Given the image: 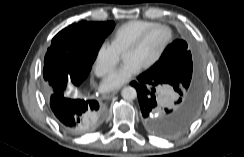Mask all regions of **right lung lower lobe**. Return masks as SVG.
I'll list each match as a JSON object with an SVG mask.
<instances>
[{"label": "right lung lower lobe", "instance_id": "98d812e1", "mask_svg": "<svg viewBox=\"0 0 244 157\" xmlns=\"http://www.w3.org/2000/svg\"><path fill=\"white\" fill-rule=\"evenodd\" d=\"M82 81L77 82L79 85ZM58 90L50 98V107L58 123L68 132L83 134L93 130L102 120L103 107L97 100L72 99Z\"/></svg>", "mask_w": 244, "mask_h": 157}]
</instances>
